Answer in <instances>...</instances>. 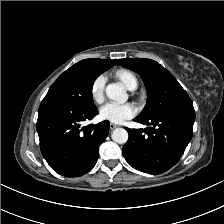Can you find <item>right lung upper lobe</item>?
I'll return each instance as SVG.
<instances>
[{"label":"right lung upper lobe","mask_w":224,"mask_h":224,"mask_svg":"<svg viewBox=\"0 0 224 224\" xmlns=\"http://www.w3.org/2000/svg\"><path fill=\"white\" fill-rule=\"evenodd\" d=\"M85 60L105 71L113 67L117 62V60H105V59H85Z\"/></svg>","instance_id":"right-lung-upper-lobe-1"}]
</instances>
